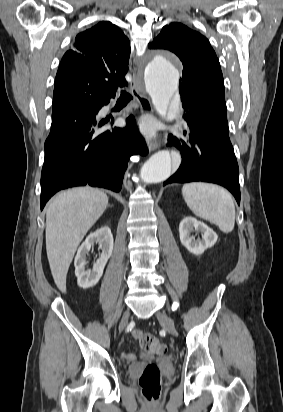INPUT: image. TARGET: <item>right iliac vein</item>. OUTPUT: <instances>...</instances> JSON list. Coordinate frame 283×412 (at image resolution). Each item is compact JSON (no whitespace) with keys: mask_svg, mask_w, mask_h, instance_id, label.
<instances>
[{"mask_svg":"<svg viewBox=\"0 0 283 412\" xmlns=\"http://www.w3.org/2000/svg\"><path fill=\"white\" fill-rule=\"evenodd\" d=\"M129 315H130L129 312L124 313V315L122 317V320L120 322V325H119V330L120 331H122L126 327V325L128 324Z\"/></svg>","mask_w":283,"mask_h":412,"instance_id":"63e3f726","label":"right iliac vein"}]
</instances>
